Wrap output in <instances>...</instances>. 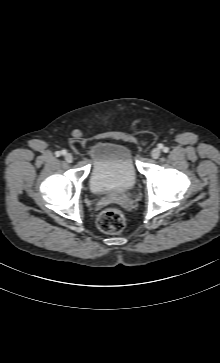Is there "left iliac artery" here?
I'll return each instance as SVG.
<instances>
[{
    "label": "left iliac artery",
    "instance_id": "obj_1",
    "mask_svg": "<svg viewBox=\"0 0 220 363\" xmlns=\"http://www.w3.org/2000/svg\"><path fill=\"white\" fill-rule=\"evenodd\" d=\"M162 150H163V152H165V153L169 152V148H168V147H162Z\"/></svg>",
    "mask_w": 220,
    "mask_h": 363
}]
</instances>
